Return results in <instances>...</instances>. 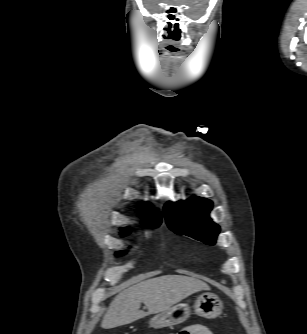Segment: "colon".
<instances>
[{
  "label": "colon",
  "mask_w": 307,
  "mask_h": 334,
  "mask_svg": "<svg viewBox=\"0 0 307 334\" xmlns=\"http://www.w3.org/2000/svg\"><path fill=\"white\" fill-rule=\"evenodd\" d=\"M176 334H183L181 331L179 333H176Z\"/></svg>",
  "instance_id": "obj_1"
}]
</instances>
